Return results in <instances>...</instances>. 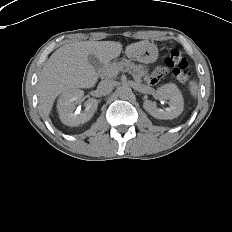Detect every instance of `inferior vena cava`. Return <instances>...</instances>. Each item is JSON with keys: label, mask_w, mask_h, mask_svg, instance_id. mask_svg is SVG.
<instances>
[{"label": "inferior vena cava", "mask_w": 232, "mask_h": 232, "mask_svg": "<svg viewBox=\"0 0 232 232\" xmlns=\"http://www.w3.org/2000/svg\"><path fill=\"white\" fill-rule=\"evenodd\" d=\"M114 81L112 80H103L98 84L97 92L101 96L108 95L114 89Z\"/></svg>", "instance_id": "inferior-vena-cava-1"}]
</instances>
